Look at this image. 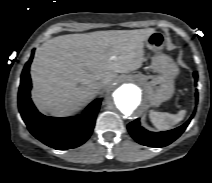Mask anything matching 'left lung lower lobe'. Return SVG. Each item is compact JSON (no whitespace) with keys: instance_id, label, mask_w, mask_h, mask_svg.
<instances>
[{"instance_id":"left-lung-lower-lobe-1","label":"left lung lower lobe","mask_w":212,"mask_h":183,"mask_svg":"<svg viewBox=\"0 0 212 183\" xmlns=\"http://www.w3.org/2000/svg\"><path fill=\"white\" fill-rule=\"evenodd\" d=\"M194 78L197 81V72H194ZM192 118L193 115L185 124L176 129L157 133L145 130L140 126L139 119H136L128 124V130L131 136L142 145L150 147H164L175 141L185 131Z\"/></svg>"}]
</instances>
